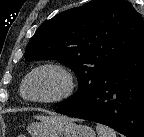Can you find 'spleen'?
<instances>
[{"label": "spleen", "instance_id": "3e777b00", "mask_svg": "<svg viewBox=\"0 0 144 137\" xmlns=\"http://www.w3.org/2000/svg\"><path fill=\"white\" fill-rule=\"evenodd\" d=\"M98 137H117L116 132L108 126L97 124Z\"/></svg>", "mask_w": 144, "mask_h": 137}]
</instances>
